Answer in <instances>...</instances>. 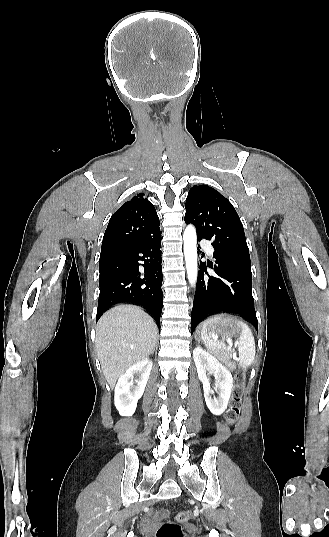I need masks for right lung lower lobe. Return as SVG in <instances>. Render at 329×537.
<instances>
[{
	"label": "right lung lower lobe",
	"mask_w": 329,
	"mask_h": 537,
	"mask_svg": "<svg viewBox=\"0 0 329 537\" xmlns=\"http://www.w3.org/2000/svg\"><path fill=\"white\" fill-rule=\"evenodd\" d=\"M161 233L130 248L103 253L99 266V304L96 321L112 305L132 302L160 326L162 313Z\"/></svg>",
	"instance_id": "obj_1"
}]
</instances>
